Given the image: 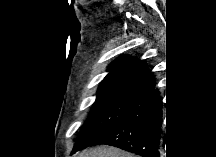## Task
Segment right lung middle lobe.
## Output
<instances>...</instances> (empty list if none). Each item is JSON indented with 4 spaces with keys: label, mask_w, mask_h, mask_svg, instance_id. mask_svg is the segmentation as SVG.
<instances>
[{
    "label": "right lung middle lobe",
    "mask_w": 216,
    "mask_h": 157,
    "mask_svg": "<svg viewBox=\"0 0 216 157\" xmlns=\"http://www.w3.org/2000/svg\"><path fill=\"white\" fill-rule=\"evenodd\" d=\"M134 94V91L121 90L97 96L90 115L76 139L73 151L94 144L98 138L112 129L125 113Z\"/></svg>",
    "instance_id": "dd1d6c3e"
}]
</instances>
